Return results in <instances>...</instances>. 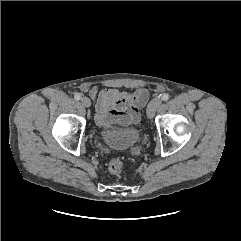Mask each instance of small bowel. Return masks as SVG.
Returning a JSON list of instances; mask_svg holds the SVG:
<instances>
[{
    "instance_id": "obj_1",
    "label": "small bowel",
    "mask_w": 241,
    "mask_h": 241,
    "mask_svg": "<svg viewBox=\"0 0 241 241\" xmlns=\"http://www.w3.org/2000/svg\"><path fill=\"white\" fill-rule=\"evenodd\" d=\"M96 103V122L101 127H132L140 120V109L148 100V91L139 88L133 92L114 88L90 90Z\"/></svg>"
}]
</instances>
